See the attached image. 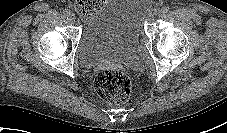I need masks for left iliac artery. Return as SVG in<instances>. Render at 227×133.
Masks as SVG:
<instances>
[{
    "label": "left iliac artery",
    "mask_w": 227,
    "mask_h": 133,
    "mask_svg": "<svg viewBox=\"0 0 227 133\" xmlns=\"http://www.w3.org/2000/svg\"><path fill=\"white\" fill-rule=\"evenodd\" d=\"M161 10H162L163 13H167L170 10V7L169 6H164V7H162Z\"/></svg>",
    "instance_id": "1"
}]
</instances>
